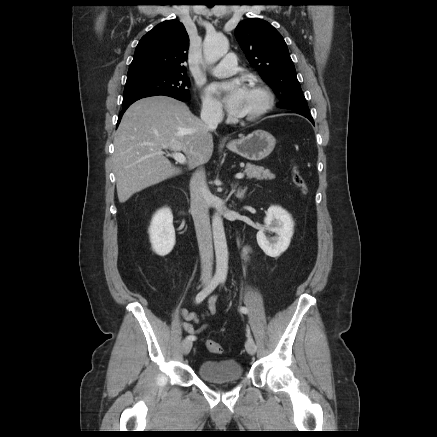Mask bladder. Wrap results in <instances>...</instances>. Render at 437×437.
<instances>
[{
	"label": "bladder",
	"instance_id": "1",
	"mask_svg": "<svg viewBox=\"0 0 437 437\" xmlns=\"http://www.w3.org/2000/svg\"><path fill=\"white\" fill-rule=\"evenodd\" d=\"M197 372L201 379L214 383L238 381L243 377L242 365L233 359L203 361L199 364Z\"/></svg>",
	"mask_w": 437,
	"mask_h": 437
}]
</instances>
